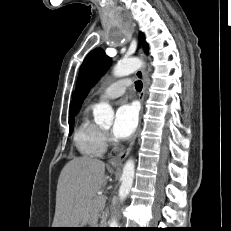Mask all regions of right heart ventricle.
I'll return each mask as SVG.
<instances>
[{"mask_svg":"<svg viewBox=\"0 0 231 231\" xmlns=\"http://www.w3.org/2000/svg\"><path fill=\"white\" fill-rule=\"evenodd\" d=\"M74 144L84 157H101L106 151V140L102 129L95 124L89 114V108L83 114L75 129Z\"/></svg>","mask_w":231,"mask_h":231,"instance_id":"obj_1","label":"right heart ventricle"}]
</instances>
